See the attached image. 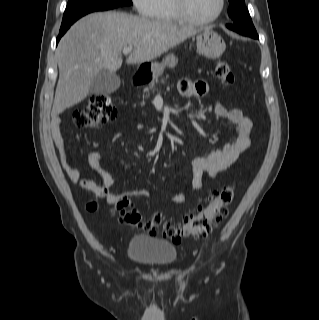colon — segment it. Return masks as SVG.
Listing matches in <instances>:
<instances>
[{
  "label": "colon",
  "mask_w": 319,
  "mask_h": 320,
  "mask_svg": "<svg viewBox=\"0 0 319 320\" xmlns=\"http://www.w3.org/2000/svg\"><path fill=\"white\" fill-rule=\"evenodd\" d=\"M214 76L225 86L235 83V75L226 60L217 62ZM117 117V109L113 105L108 94L100 93L92 95L88 103L74 115V122L81 127L97 128L112 122ZM235 189L233 186H225L211 196L194 214L185 216L178 225H172L165 221L162 215H146L131 207L128 198L122 197L117 201L116 208L121 213L122 221L132 227L154 233L158 230L174 241L183 238H204L208 236L218 223L228 214V209L233 201ZM97 204H87L88 210H95Z\"/></svg>",
  "instance_id": "5ec220e1"
}]
</instances>
